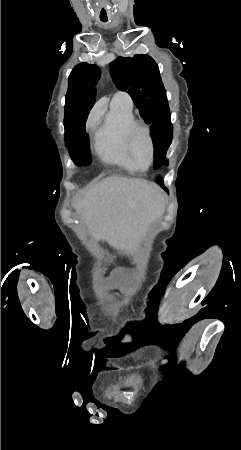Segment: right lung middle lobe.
Segmentation results:
<instances>
[{
	"label": "right lung middle lobe",
	"mask_w": 241,
	"mask_h": 450,
	"mask_svg": "<svg viewBox=\"0 0 241 450\" xmlns=\"http://www.w3.org/2000/svg\"><path fill=\"white\" fill-rule=\"evenodd\" d=\"M99 78L100 76L98 75L86 73H80L69 78L64 118L67 140L77 118L84 112H88L94 105L96 97L95 85ZM71 158L77 166H87L91 163L89 148L81 152H74Z\"/></svg>",
	"instance_id": "1"
}]
</instances>
